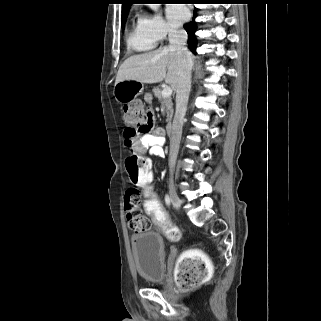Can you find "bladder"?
I'll use <instances>...</instances> for the list:
<instances>
[{"label":"bladder","mask_w":321,"mask_h":321,"mask_svg":"<svg viewBox=\"0 0 321 321\" xmlns=\"http://www.w3.org/2000/svg\"><path fill=\"white\" fill-rule=\"evenodd\" d=\"M131 251L138 274L147 282L160 283L165 277V245L154 231L133 234Z\"/></svg>","instance_id":"31cf9c89"}]
</instances>
